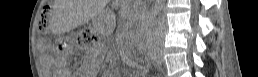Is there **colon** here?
I'll return each instance as SVG.
<instances>
[{
	"label": "colon",
	"mask_w": 258,
	"mask_h": 77,
	"mask_svg": "<svg viewBox=\"0 0 258 77\" xmlns=\"http://www.w3.org/2000/svg\"><path fill=\"white\" fill-rule=\"evenodd\" d=\"M50 26V11L48 8H44L41 12L39 19V30L45 32ZM94 34L89 31L83 30L79 33L78 43L82 46H88L93 43Z\"/></svg>",
	"instance_id": "obj_1"
}]
</instances>
